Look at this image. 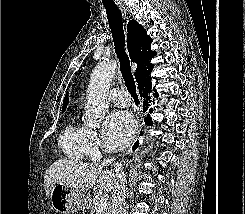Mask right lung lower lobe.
I'll list each match as a JSON object with an SVG mask.
<instances>
[{"mask_svg":"<svg viewBox=\"0 0 245 214\" xmlns=\"http://www.w3.org/2000/svg\"><path fill=\"white\" fill-rule=\"evenodd\" d=\"M151 72V71H150ZM150 72L146 74L139 82H138V87H139V92L141 98H143V111L146 112L148 107L151 104H154V99L153 97H158V94L154 93V90L152 88L151 84V76ZM153 112V109H150V113ZM145 124L152 126L153 122L149 114L145 118Z\"/></svg>","mask_w":245,"mask_h":214,"instance_id":"obj_1","label":"right lung lower lobe"}]
</instances>
